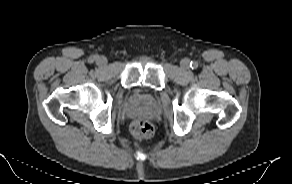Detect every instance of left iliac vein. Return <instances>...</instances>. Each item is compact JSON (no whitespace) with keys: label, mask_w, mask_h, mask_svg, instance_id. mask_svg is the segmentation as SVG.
<instances>
[{"label":"left iliac vein","mask_w":292,"mask_h":184,"mask_svg":"<svg viewBox=\"0 0 292 184\" xmlns=\"http://www.w3.org/2000/svg\"><path fill=\"white\" fill-rule=\"evenodd\" d=\"M180 65H181V68L182 69H184V70L188 69V67H189V60L188 59H183L181 61Z\"/></svg>","instance_id":"4c4485c4"}]
</instances>
